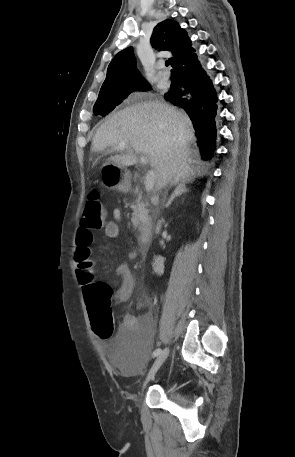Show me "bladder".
Instances as JSON below:
<instances>
[{
    "label": "bladder",
    "instance_id": "obj_1",
    "mask_svg": "<svg viewBox=\"0 0 295 457\" xmlns=\"http://www.w3.org/2000/svg\"><path fill=\"white\" fill-rule=\"evenodd\" d=\"M112 355L117 356L114 363L122 371L136 373L144 365V360L156 359L153 338H112Z\"/></svg>",
    "mask_w": 295,
    "mask_h": 457
}]
</instances>
